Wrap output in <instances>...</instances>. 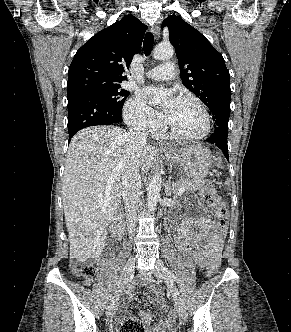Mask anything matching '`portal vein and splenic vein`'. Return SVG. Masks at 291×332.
I'll return each mask as SVG.
<instances>
[{"label":"portal vein and splenic vein","mask_w":291,"mask_h":332,"mask_svg":"<svg viewBox=\"0 0 291 332\" xmlns=\"http://www.w3.org/2000/svg\"><path fill=\"white\" fill-rule=\"evenodd\" d=\"M185 190V187L184 186H181L178 190V194L181 195Z\"/></svg>","instance_id":"1"}]
</instances>
